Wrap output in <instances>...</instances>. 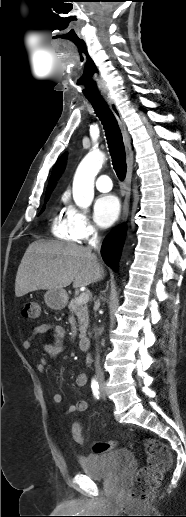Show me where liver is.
I'll return each mask as SVG.
<instances>
[{
  "instance_id": "obj_1",
  "label": "liver",
  "mask_w": 186,
  "mask_h": 517,
  "mask_svg": "<svg viewBox=\"0 0 186 517\" xmlns=\"http://www.w3.org/2000/svg\"><path fill=\"white\" fill-rule=\"evenodd\" d=\"M104 270L88 247L58 241H35L18 267L15 295L39 289H63L73 283L84 287L102 279Z\"/></svg>"
}]
</instances>
